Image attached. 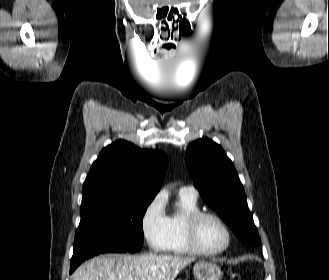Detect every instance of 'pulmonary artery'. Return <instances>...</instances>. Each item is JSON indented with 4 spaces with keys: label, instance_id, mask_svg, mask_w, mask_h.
Here are the masks:
<instances>
[{
    "label": "pulmonary artery",
    "instance_id": "obj_1",
    "mask_svg": "<svg viewBox=\"0 0 329 280\" xmlns=\"http://www.w3.org/2000/svg\"><path fill=\"white\" fill-rule=\"evenodd\" d=\"M180 192L186 193L194 198L198 197V190L194 186H184L180 189Z\"/></svg>",
    "mask_w": 329,
    "mask_h": 280
}]
</instances>
